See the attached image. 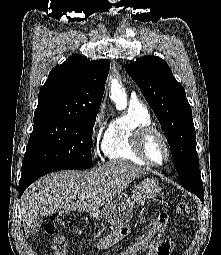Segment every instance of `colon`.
I'll return each instance as SVG.
<instances>
[{
  "instance_id": "1",
  "label": "colon",
  "mask_w": 221,
  "mask_h": 255,
  "mask_svg": "<svg viewBox=\"0 0 221 255\" xmlns=\"http://www.w3.org/2000/svg\"><path fill=\"white\" fill-rule=\"evenodd\" d=\"M176 210L178 214L182 216H186L190 213V206L185 201H180L177 206ZM168 216L165 213H161L158 218L149 225L147 229V233L150 235H155L167 224ZM59 225L63 228H71L74 224V219L69 212L62 211L55 213L51 220L45 225L44 231L48 235H53L55 232V225ZM51 249L53 255H67V241L63 235L58 234L56 235L51 241Z\"/></svg>"
}]
</instances>
